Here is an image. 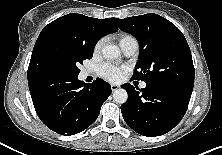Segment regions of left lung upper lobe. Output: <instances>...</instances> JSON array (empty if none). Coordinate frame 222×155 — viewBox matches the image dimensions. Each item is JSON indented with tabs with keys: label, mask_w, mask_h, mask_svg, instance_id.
I'll list each match as a JSON object with an SVG mask.
<instances>
[{
	"label": "left lung upper lobe",
	"mask_w": 222,
	"mask_h": 155,
	"mask_svg": "<svg viewBox=\"0 0 222 155\" xmlns=\"http://www.w3.org/2000/svg\"><path fill=\"white\" fill-rule=\"evenodd\" d=\"M116 23L139 43L140 56L132 79L192 93L191 51L183 33L173 23L153 13L116 19Z\"/></svg>",
	"instance_id": "left-lung-upper-lobe-1"
}]
</instances>
